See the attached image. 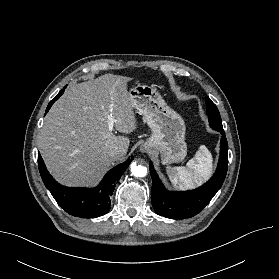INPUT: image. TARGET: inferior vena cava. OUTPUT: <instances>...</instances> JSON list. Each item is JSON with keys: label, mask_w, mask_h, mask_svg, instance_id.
I'll return each mask as SVG.
<instances>
[{"label": "inferior vena cava", "mask_w": 279, "mask_h": 279, "mask_svg": "<svg viewBox=\"0 0 279 279\" xmlns=\"http://www.w3.org/2000/svg\"><path fill=\"white\" fill-rule=\"evenodd\" d=\"M120 153H121V150L119 148H115L109 152V155L111 157H117L118 155H120Z\"/></svg>", "instance_id": "1"}]
</instances>
